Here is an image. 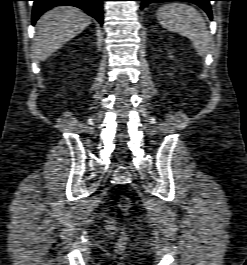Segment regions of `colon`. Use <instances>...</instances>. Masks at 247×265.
<instances>
[{"instance_id":"obj_1","label":"colon","mask_w":247,"mask_h":265,"mask_svg":"<svg viewBox=\"0 0 247 265\" xmlns=\"http://www.w3.org/2000/svg\"><path fill=\"white\" fill-rule=\"evenodd\" d=\"M118 209L120 213L124 216V218H126L131 209L130 199L126 196L121 197L118 200ZM127 243H128V235L126 230H124L121 236L118 238L115 247L118 251H123L126 248Z\"/></svg>"}]
</instances>
